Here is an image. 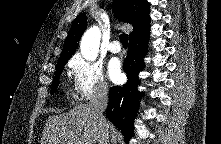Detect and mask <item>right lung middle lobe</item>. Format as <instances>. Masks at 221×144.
<instances>
[{
	"label": "right lung middle lobe",
	"instance_id": "right-lung-middle-lobe-1",
	"mask_svg": "<svg viewBox=\"0 0 221 144\" xmlns=\"http://www.w3.org/2000/svg\"><path fill=\"white\" fill-rule=\"evenodd\" d=\"M66 63V62H65ZM65 63H61V64H57L56 66V72H55V76H54V80H53V85H52V89H51V94H54L55 90L58 87L59 84V78L60 75L63 71L64 65Z\"/></svg>",
	"mask_w": 221,
	"mask_h": 144
}]
</instances>
